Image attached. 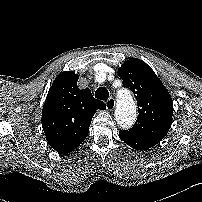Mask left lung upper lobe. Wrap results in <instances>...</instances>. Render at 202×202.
Listing matches in <instances>:
<instances>
[{"label":"left lung upper lobe","instance_id":"left-lung-upper-lobe-1","mask_svg":"<svg viewBox=\"0 0 202 202\" xmlns=\"http://www.w3.org/2000/svg\"><path fill=\"white\" fill-rule=\"evenodd\" d=\"M123 85L130 88L139 107V115L129 132L162 140L172 123L173 102L161 80L145 62L131 58L118 69Z\"/></svg>","mask_w":202,"mask_h":202}]
</instances>
